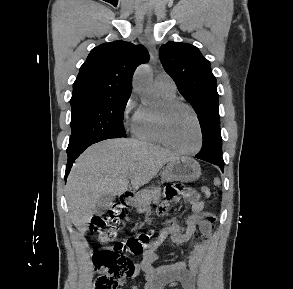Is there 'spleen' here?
I'll use <instances>...</instances> for the list:
<instances>
[{"label":"spleen","mask_w":293,"mask_h":289,"mask_svg":"<svg viewBox=\"0 0 293 289\" xmlns=\"http://www.w3.org/2000/svg\"><path fill=\"white\" fill-rule=\"evenodd\" d=\"M214 184H215L216 186H219V185L221 184L219 178H215V179H214Z\"/></svg>","instance_id":"1"}]
</instances>
